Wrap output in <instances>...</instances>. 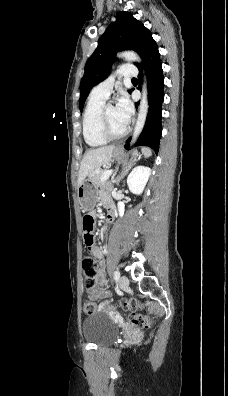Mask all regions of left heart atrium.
Wrapping results in <instances>:
<instances>
[{
  "mask_svg": "<svg viewBox=\"0 0 228 396\" xmlns=\"http://www.w3.org/2000/svg\"><path fill=\"white\" fill-rule=\"evenodd\" d=\"M115 108L120 120L127 125L132 116L133 107L125 94L119 97Z\"/></svg>",
  "mask_w": 228,
  "mask_h": 396,
  "instance_id": "39dd6f15",
  "label": "left heart atrium"
}]
</instances>
